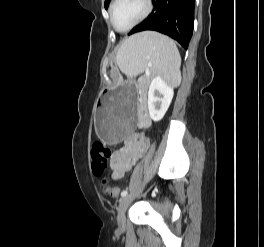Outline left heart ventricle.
<instances>
[{"mask_svg":"<svg viewBox=\"0 0 264 247\" xmlns=\"http://www.w3.org/2000/svg\"><path fill=\"white\" fill-rule=\"evenodd\" d=\"M144 10V0H118L114 7V23L120 29L127 28L143 14Z\"/></svg>","mask_w":264,"mask_h":247,"instance_id":"left-heart-ventricle-1","label":"left heart ventricle"}]
</instances>
